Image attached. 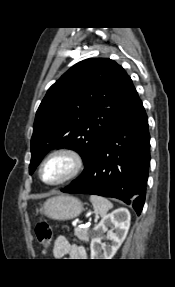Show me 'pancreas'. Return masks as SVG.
I'll return each instance as SVG.
<instances>
[{
  "instance_id": "pancreas-1",
  "label": "pancreas",
  "mask_w": 175,
  "mask_h": 287,
  "mask_svg": "<svg viewBox=\"0 0 175 287\" xmlns=\"http://www.w3.org/2000/svg\"><path fill=\"white\" fill-rule=\"evenodd\" d=\"M88 230H89L88 228H75L74 233L79 240L83 242H88L89 241Z\"/></svg>"
}]
</instances>
